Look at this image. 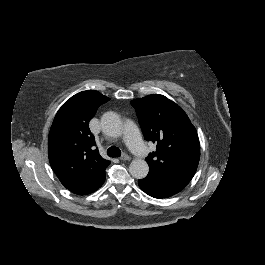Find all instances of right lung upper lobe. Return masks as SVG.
<instances>
[{
    "instance_id": "obj_1",
    "label": "right lung upper lobe",
    "mask_w": 265,
    "mask_h": 265,
    "mask_svg": "<svg viewBox=\"0 0 265 265\" xmlns=\"http://www.w3.org/2000/svg\"><path fill=\"white\" fill-rule=\"evenodd\" d=\"M108 97L95 90L72 96L57 112L48 137V157L65 188L77 195L97 190L105 180L110 161L103 159L89 121Z\"/></svg>"
}]
</instances>
